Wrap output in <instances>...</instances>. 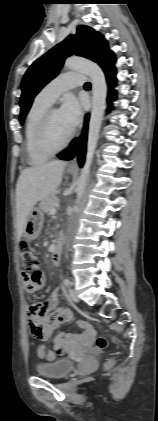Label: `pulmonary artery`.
Returning a JSON list of instances; mask_svg holds the SVG:
<instances>
[{"label":"pulmonary artery","instance_id":"obj_1","mask_svg":"<svg viewBox=\"0 0 158 421\" xmlns=\"http://www.w3.org/2000/svg\"><path fill=\"white\" fill-rule=\"evenodd\" d=\"M84 80V75L78 72L62 73L44 86L38 97L52 104L63 92L82 85Z\"/></svg>","mask_w":158,"mask_h":421}]
</instances>
